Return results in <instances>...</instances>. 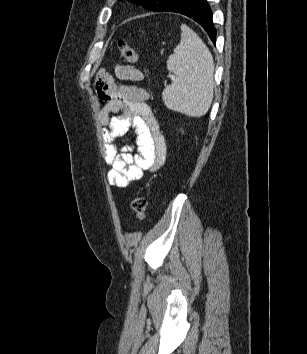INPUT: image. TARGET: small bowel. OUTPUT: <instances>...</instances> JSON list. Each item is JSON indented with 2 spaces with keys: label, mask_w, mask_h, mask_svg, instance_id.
Segmentation results:
<instances>
[{
  "label": "small bowel",
  "mask_w": 307,
  "mask_h": 354,
  "mask_svg": "<svg viewBox=\"0 0 307 354\" xmlns=\"http://www.w3.org/2000/svg\"><path fill=\"white\" fill-rule=\"evenodd\" d=\"M115 75L121 81H142V72L132 66L117 65ZM101 100H108L99 111L103 126L104 160L110 167L107 178L112 186L125 188L143 176L145 171L161 167L167 147L158 123L147 104L149 90L132 84H119L102 75L97 79ZM133 129L135 146L118 145L117 139ZM136 148L137 153L132 151Z\"/></svg>",
  "instance_id": "c3829d8e"
}]
</instances>
